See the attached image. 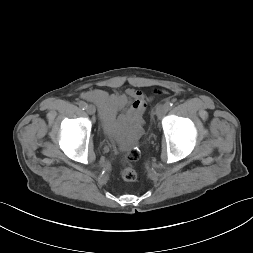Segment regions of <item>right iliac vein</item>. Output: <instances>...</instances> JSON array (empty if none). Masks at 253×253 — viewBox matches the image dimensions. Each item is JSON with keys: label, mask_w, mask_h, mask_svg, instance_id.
<instances>
[{"label": "right iliac vein", "mask_w": 253, "mask_h": 253, "mask_svg": "<svg viewBox=\"0 0 253 253\" xmlns=\"http://www.w3.org/2000/svg\"><path fill=\"white\" fill-rule=\"evenodd\" d=\"M86 111H87L88 114L92 115V114L95 113L96 109L93 105L90 104L86 107Z\"/></svg>", "instance_id": "1"}]
</instances>
